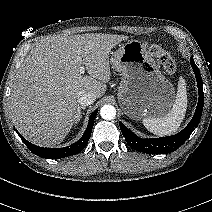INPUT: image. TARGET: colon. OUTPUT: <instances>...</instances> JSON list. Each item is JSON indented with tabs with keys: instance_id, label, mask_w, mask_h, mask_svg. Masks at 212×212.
Wrapping results in <instances>:
<instances>
[{
	"instance_id": "colon-1",
	"label": "colon",
	"mask_w": 212,
	"mask_h": 212,
	"mask_svg": "<svg viewBox=\"0 0 212 212\" xmlns=\"http://www.w3.org/2000/svg\"><path fill=\"white\" fill-rule=\"evenodd\" d=\"M146 50L154 57L167 73L176 70V62L169 51L159 44H146Z\"/></svg>"
}]
</instances>
